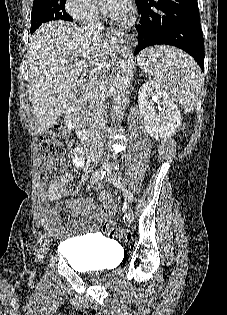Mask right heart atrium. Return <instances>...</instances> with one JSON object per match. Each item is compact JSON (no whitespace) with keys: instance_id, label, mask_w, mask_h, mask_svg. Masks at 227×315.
<instances>
[{"instance_id":"right-heart-atrium-1","label":"right heart atrium","mask_w":227,"mask_h":315,"mask_svg":"<svg viewBox=\"0 0 227 315\" xmlns=\"http://www.w3.org/2000/svg\"><path fill=\"white\" fill-rule=\"evenodd\" d=\"M65 9L71 17L84 24H91L99 17L92 0H66Z\"/></svg>"}]
</instances>
